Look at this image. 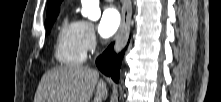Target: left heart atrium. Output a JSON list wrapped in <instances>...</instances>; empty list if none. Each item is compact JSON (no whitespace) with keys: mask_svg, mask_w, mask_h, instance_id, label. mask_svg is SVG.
<instances>
[{"mask_svg":"<svg viewBox=\"0 0 221 102\" xmlns=\"http://www.w3.org/2000/svg\"><path fill=\"white\" fill-rule=\"evenodd\" d=\"M121 22L119 11L113 6L107 7L101 16L99 24L100 34L105 38L112 36L121 26Z\"/></svg>","mask_w":221,"mask_h":102,"instance_id":"obj_1","label":"left heart atrium"}]
</instances>
